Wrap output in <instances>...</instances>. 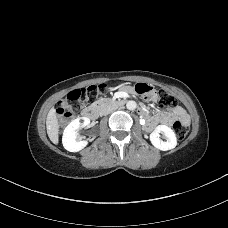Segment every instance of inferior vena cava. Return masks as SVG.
Segmentation results:
<instances>
[{"label":"inferior vena cava","mask_w":228,"mask_h":228,"mask_svg":"<svg viewBox=\"0 0 228 228\" xmlns=\"http://www.w3.org/2000/svg\"><path fill=\"white\" fill-rule=\"evenodd\" d=\"M117 107L116 106H112V107H107L103 110L102 114L103 115H107L109 113H111L112 111L116 110Z\"/></svg>","instance_id":"inferior-vena-cava-1"}]
</instances>
